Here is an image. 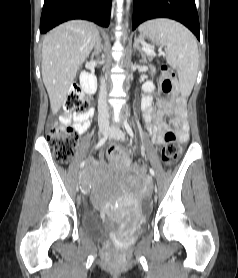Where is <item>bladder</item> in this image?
Returning a JSON list of instances; mask_svg holds the SVG:
<instances>
[{
	"label": "bladder",
	"instance_id": "bladder-1",
	"mask_svg": "<svg viewBox=\"0 0 238 278\" xmlns=\"http://www.w3.org/2000/svg\"><path fill=\"white\" fill-rule=\"evenodd\" d=\"M83 231L98 240L109 241L112 235L117 232V224L101 217L94 209L88 208L84 211L82 217ZM141 227H137L134 233H138Z\"/></svg>",
	"mask_w": 238,
	"mask_h": 278
}]
</instances>
